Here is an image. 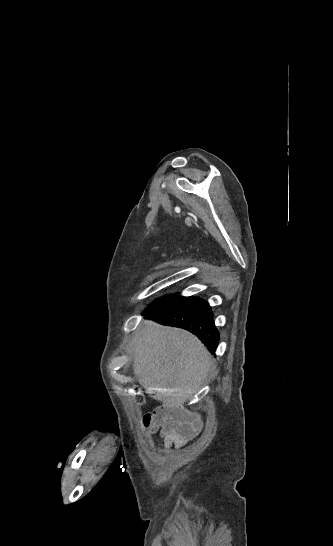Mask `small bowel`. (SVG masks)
<instances>
[{
    "mask_svg": "<svg viewBox=\"0 0 333 546\" xmlns=\"http://www.w3.org/2000/svg\"><path fill=\"white\" fill-rule=\"evenodd\" d=\"M153 417L156 427L161 426V437L165 450L171 446L182 447L193 439L202 428V423L192 417H175L170 420L158 415Z\"/></svg>",
    "mask_w": 333,
    "mask_h": 546,
    "instance_id": "obj_1",
    "label": "small bowel"
}]
</instances>
